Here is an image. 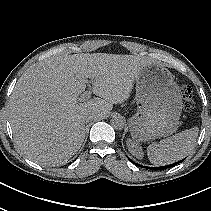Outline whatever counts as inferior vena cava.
<instances>
[{
    "label": "inferior vena cava",
    "mask_w": 211,
    "mask_h": 211,
    "mask_svg": "<svg viewBox=\"0 0 211 211\" xmlns=\"http://www.w3.org/2000/svg\"><path fill=\"white\" fill-rule=\"evenodd\" d=\"M95 118H96L95 115L90 114V115L85 116L84 120H85V122H89Z\"/></svg>",
    "instance_id": "obj_1"
}]
</instances>
